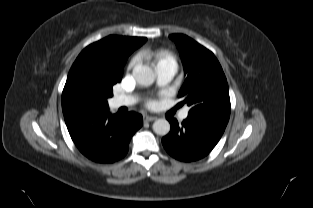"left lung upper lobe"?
<instances>
[{
	"instance_id": "5c2ea615",
	"label": "left lung upper lobe",
	"mask_w": 313,
	"mask_h": 208,
	"mask_svg": "<svg viewBox=\"0 0 313 208\" xmlns=\"http://www.w3.org/2000/svg\"><path fill=\"white\" fill-rule=\"evenodd\" d=\"M177 45L186 80L178 96L191 109L189 116L228 123L230 97L226 77L214 54L183 34L169 36Z\"/></svg>"
}]
</instances>
